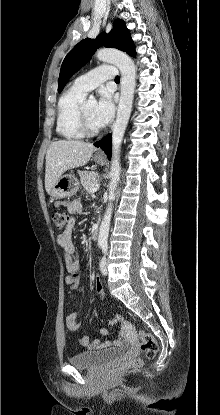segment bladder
<instances>
[{"instance_id": "obj_1", "label": "bladder", "mask_w": 220, "mask_h": 415, "mask_svg": "<svg viewBox=\"0 0 220 415\" xmlns=\"http://www.w3.org/2000/svg\"><path fill=\"white\" fill-rule=\"evenodd\" d=\"M124 348H111L101 351H81L73 355L69 362L76 368H94L122 358L125 354Z\"/></svg>"}]
</instances>
